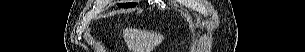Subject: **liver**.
Wrapping results in <instances>:
<instances>
[{"mask_svg":"<svg viewBox=\"0 0 305 52\" xmlns=\"http://www.w3.org/2000/svg\"><path fill=\"white\" fill-rule=\"evenodd\" d=\"M162 41V38H160L156 43L157 45Z\"/></svg>","mask_w":305,"mask_h":52,"instance_id":"liver-1","label":"liver"}]
</instances>
